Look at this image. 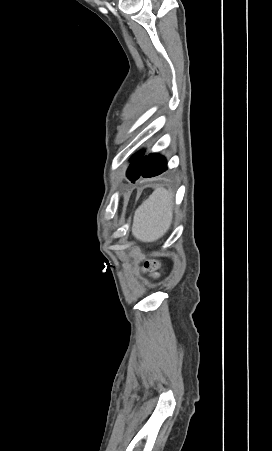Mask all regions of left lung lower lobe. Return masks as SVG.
Instances as JSON below:
<instances>
[{
  "mask_svg": "<svg viewBox=\"0 0 272 451\" xmlns=\"http://www.w3.org/2000/svg\"><path fill=\"white\" fill-rule=\"evenodd\" d=\"M167 170V163L163 156L159 154H149L144 161V165L142 167V170L140 174L135 178H129L132 182L139 179L141 176L144 178H150L157 175H160L161 173L165 172Z\"/></svg>",
  "mask_w": 272,
  "mask_h": 451,
  "instance_id": "0a47b994",
  "label": "left lung lower lobe"
}]
</instances>
